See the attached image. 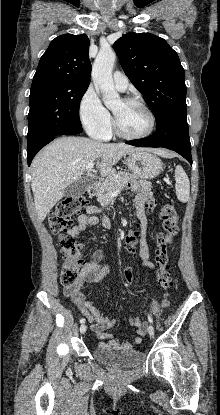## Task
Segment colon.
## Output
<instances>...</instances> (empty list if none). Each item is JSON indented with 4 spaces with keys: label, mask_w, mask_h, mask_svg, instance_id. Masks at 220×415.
Wrapping results in <instances>:
<instances>
[{
    "label": "colon",
    "mask_w": 220,
    "mask_h": 415,
    "mask_svg": "<svg viewBox=\"0 0 220 415\" xmlns=\"http://www.w3.org/2000/svg\"><path fill=\"white\" fill-rule=\"evenodd\" d=\"M85 204L86 199L82 195L70 197L61 201L48 216L49 229L58 237L60 248L64 254L60 281L66 287H71L77 282L82 265L80 256L82 245L73 235L69 234V230L74 216L80 212ZM159 217L162 220V232L156 237L157 279L165 291L162 307L168 308L170 306L168 291L172 285V277L167 270V265L173 237L178 230V213L173 204L167 203L162 206ZM128 250L134 251L135 247L128 248ZM123 277L125 282H131V271L125 269Z\"/></svg>",
    "instance_id": "colon-1"
}]
</instances>
